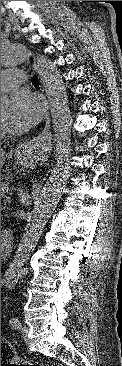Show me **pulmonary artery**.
Instances as JSON below:
<instances>
[{
    "label": "pulmonary artery",
    "instance_id": "pulmonary-artery-1",
    "mask_svg": "<svg viewBox=\"0 0 122 366\" xmlns=\"http://www.w3.org/2000/svg\"><path fill=\"white\" fill-rule=\"evenodd\" d=\"M25 78V73L22 71L1 70V93L20 87Z\"/></svg>",
    "mask_w": 122,
    "mask_h": 366
}]
</instances>
